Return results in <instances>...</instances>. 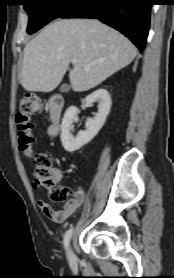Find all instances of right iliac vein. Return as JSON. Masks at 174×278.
<instances>
[{"mask_svg":"<svg viewBox=\"0 0 174 278\" xmlns=\"http://www.w3.org/2000/svg\"><path fill=\"white\" fill-rule=\"evenodd\" d=\"M68 259L71 267H75L77 265V257L71 247L69 249Z\"/></svg>","mask_w":174,"mask_h":278,"instance_id":"63e3f726","label":"right iliac vein"}]
</instances>
